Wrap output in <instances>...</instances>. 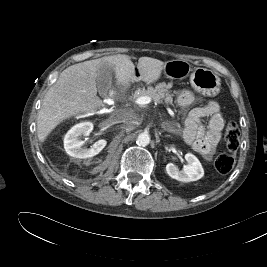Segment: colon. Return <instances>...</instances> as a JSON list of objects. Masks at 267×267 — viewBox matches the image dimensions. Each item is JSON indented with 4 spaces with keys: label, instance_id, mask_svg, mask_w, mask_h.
I'll return each instance as SVG.
<instances>
[{
    "label": "colon",
    "instance_id": "colon-1",
    "mask_svg": "<svg viewBox=\"0 0 267 267\" xmlns=\"http://www.w3.org/2000/svg\"><path fill=\"white\" fill-rule=\"evenodd\" d=\"M224 140L227 152L221 153L215 160V167L222 174L229 173L236 161V151L239 147L240 130L236 123L229 122L224 130Z\"/></svg>",
    "mask_w": 267,
    "mask_h": 267
}]
</instances>
